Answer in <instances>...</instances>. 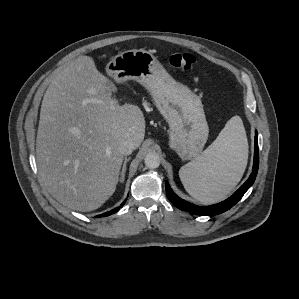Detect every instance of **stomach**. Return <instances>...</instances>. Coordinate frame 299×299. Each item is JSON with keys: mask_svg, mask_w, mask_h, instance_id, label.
Listing matches in <instances>:
<instances>
[{"mask_svg": "<svg viewBox=\"0 0 299 299\" xmlns=\"http://www.w3.org/2000/svg\"><path fill=\"white\" fill-rule=\"evenodd\" d=\"M116 82L135 80L151 94L154 104L169 125V147L183 160L198 157L208 139L209 128L200 98L175 81L150 52L124 51L106 66Z\"/></svg>", "mask_w": 299, "mask_h": 299, "instance_id": "stomach-1", "label": "stomach"}]
</instances>
